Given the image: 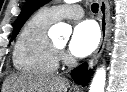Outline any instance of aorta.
Segmentation results:
<instances>
[{"label":"aorta","instance_id":"obj_1","mask_svg":"<svg viewBox=\"0 0 127 92\" xmlns=\"http://www.w3.org/2000/svg\"><path fill=\"white\" fill-rule=\"evenodd\" d=\"M77 0H66L68 3H73ZM53 33H55L58 36H67L71 33V28L66 23L60 22L55 24L50 29ZM105 82H106V70L103 67L99 68L91 82L89 92H104L105 88Z\"/></svg>","mask_w":127,"mask_h":92}]
</instances>
